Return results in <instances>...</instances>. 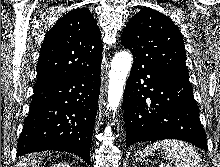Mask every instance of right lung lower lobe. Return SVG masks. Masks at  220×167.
I'll list each match as a JSON object with an SVG mask.
<instances>
[{"label":"right lung lower lobe","instance_id":"98d812e1","mask_svg":"<svg viewBox=\"0 0 220 167\" xmlns=\"http://www.w3.org/2000/svg\"><path fill=\"white\" fill-rule=\"evenodd\" d=\"M100 74L101 64L67 79L35 87L18 139L17 156L45 150L67 151L89 165Z\"/></svg>","mask_w":220,"mask_h":167}]
</instances>
